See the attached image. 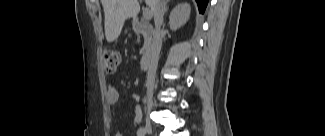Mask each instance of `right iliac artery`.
Instances as JSON below:
<instances>
[{
    "label": "right iliac artery",
    "mask_w": 325,
    "mask_h": 136,
    "mask_svg": "<svg viewBox=\"0 0 325 136\" xmlns=\"http://www.w3.org/2000/svg\"><path fill=\"white\" fill-rule=\"evenodd\" d=\"M145 133H146L145 128H140V129L138 130V132H137V135H138V136H144Z\"/></svg>",
    "instance_id": "obj_1"
}]
</instances>
